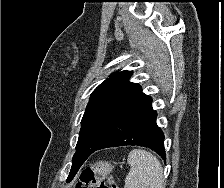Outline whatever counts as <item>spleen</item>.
Masks as SVG:
<instances>
[{
    "label": "spleen",
    "mask_w": 224,
    "mask_h": 188,
    "mask_svg": "<svg viewBox=\"0 0 224 188\" xmlns=\"http://www.w3.org/2000/svg\"><path fill=\"white\" fill-rule=\"evenodd\" d=\"M127 161L131 168L125 178L124 188H165L162 166L153 154L133 149Z\"/></svg>",
    "instance_id": "spleen-1"
}]
</instances>
